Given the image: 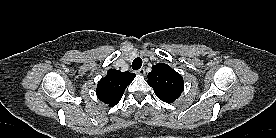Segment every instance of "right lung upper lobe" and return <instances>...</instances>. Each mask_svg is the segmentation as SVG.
Masks as SVG:
<instances>
[{
    "label": "right lung upper lobe",
    "instance_id": "right-lung-upper-lobe-1",
    "mask_svg": "<svg viewBox=\"0 0 276 138\" xmlns=\"http://www.w3.org/2000/svg\"><path fill=\"white\" fill-rule=\"evenodd\" d=\"M134 77L135 74L129 71L108 70L107 75L97 84V97L110 107L116 105L121 100L126 87L132 82Z\"/></svg>",
    "mask_w": 276,
    "mask_h": 138
}]
</instances>
